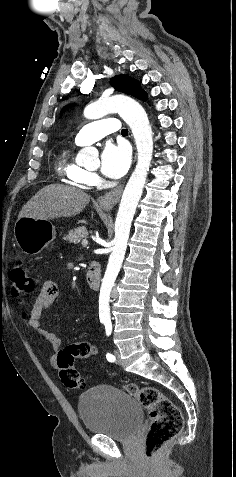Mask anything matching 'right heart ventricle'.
Here are the masks:
<instances>
[{
	"mask_svg": "<svg viewBox=\"0 0 236 477\" xmlns=\"http://www.w3.org/2000/svg\"><path fill=\"white\" fill-rule=\"evenodd\" d=\"M58 174L76 186L91 183V174L75 163L69 152L62 154L57 163Z\"/></svg>",
	"mask_w": 236,
	"mask_h": 477,
	"instance_id": "e07e8e85",
	"label": "right heart ventricle"
}]
</instances>
